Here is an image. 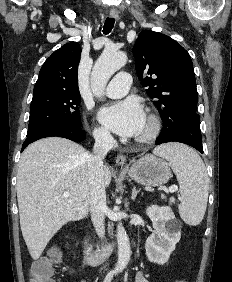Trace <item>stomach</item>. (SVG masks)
<instances>
[{
  "label": "stomach",
  "mask_w": 232,
  "mask_h": 282,
  "mask_svg": "<svg viewBox=\"0 0 232 282\" xmlns=\"http://www.w3.org/2000/svg\"><path fill=\"white\" fill-rule=\"evenodd\" d=\"M126 171L134 181L149 187L161 186L171 177L167 162L152 154L139 158Z\"/></svg>",
  "instance_id": "obj_1"
}]
</instances>
